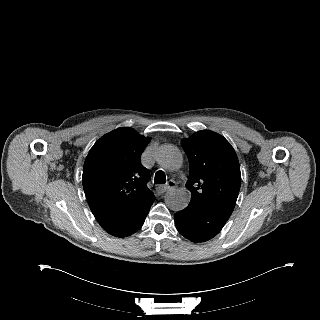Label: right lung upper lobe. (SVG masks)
<instances>
[{"instance_id": "right-lung-upper-lobe-1", "label": "right lung upper lobe", "mask_w": 320, "mask_h": 320, "mask_svg": "<svg viewBox=\"0 0 320 320\" xmlns=\"http://www.w3.org/2000/svg\"><path fill=\"white\" fill-rule=\"evenodd\" d=\"M150 138L131 128H119L99 139L83 168V188L90 209L100 223L152 205L148 170L140 157Z\"/></svg>"}]
</instances>
